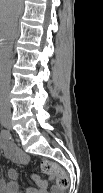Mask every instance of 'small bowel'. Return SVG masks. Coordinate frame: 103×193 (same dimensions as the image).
<instances>
[{
  "mask_svg": "<svg viewBox=\"0 0 103 193\" xmlns=\"http://www.w3.org/2000/svg\"><path fill=\"white\" fill-rule=\"evenodd\" d=\"M1 148L7 157L19 165H26L30 162L29 156L6 138L1 140ZM6 175L7 181L2 182L1 193H21L17 183V171L10 168L7 170ZM32 179L37 186L28 188L25 193H63V190L56 185H52L49 189V181L42 180L37 175L33 176Z\"/></svg>",
  "mask_w": 103,
  "mask_h": 193,
  "instance_id": "1",
  "label": "small bowel"
}]
</instances>
